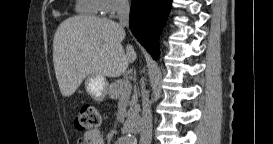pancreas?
Returning a JSON list of instances; mask_svg holds the SVG:
<instances>
[{"mask_svg": "<svg viewBox=\"0 0 273 144\" xmlns=\"http://www.w3.org/2000/svg\"><path fill=\"white\" fill-rule=\"evenodd\" d=\"M127 80H117L110 85H108V95L111 99L117 100L122 97L129 98L131 90H127L126 87ZM129 110L127 113V120L130 121L133 117H135L140 107L137 105V91H135L131 101H128Z\"/></svg>", "mask_w": 273, "mask_h": 144, "instance_id": "obj_1", "label": "pancreas"}]
</instances>
